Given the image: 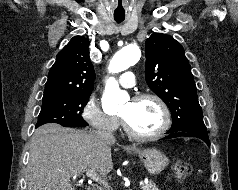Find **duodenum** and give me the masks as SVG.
Listing matches in <instances>:
<instances>
[{"mask_svg":"<svg viewBox=\"0 0 238 190\" xmlns=\"http://www.w3.org/2000/svg\"><path fill=\"white\" fill-rule=\"evenodd\" d=\"M88 190H101L98 185H92L91 187L88 188Z\"/></svg>","mask_w":238,"mask_h":190,"instance_id":"duodenum-1","label":"duodenum"}]
</instances>
